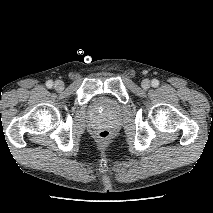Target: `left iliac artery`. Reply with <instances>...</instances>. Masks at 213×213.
<instances>
[{
    "label": "left iliac artery",
    "mask_w": 213,
    "mask_h": 213,
    "mask_svg": "<svg viewBox=\"0 0 213 213\" xmlns=\"http://www.w3.org/2000/svg\"><path fill=\"white\" fill-rule=\"evenodd\" d=\"M151 84L153 87H157L159 85V81L157 79H153Z\"/></svg>",
    "instance_id": "1"
}]
</instances>
